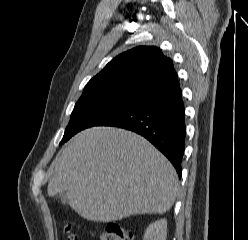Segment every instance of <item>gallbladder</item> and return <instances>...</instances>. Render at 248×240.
<instances>
[{
  "label": "gallbladder",
  "instance_id": "gallbladder-1",
  "mask_svg": "<svg viewBox=\"0 0 248 240\" xmlns=\"http://www.w3.org/2000/svg\"><path fill=\"white\" fill-rule=\"evenodd\" d=\"M59 199L61 201L62 204H67L68 200H67V192L66 191H61L59 193Z\"/></svg>",
  "mask_w": 248,
  "mask_h": 240
}]
</instances>
